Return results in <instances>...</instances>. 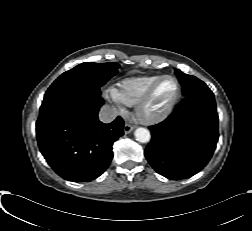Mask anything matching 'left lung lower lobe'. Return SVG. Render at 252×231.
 I'll return each mask as SVG.
<instances>
[{
  "label": "left lung lower lobe",
  "mask_w": 252,
  "mask_h": 231,
  "mask_svg": "<svg viewBox=\"0 0 252 231\" xmlns=\"http://www.w3.org/2000/svg\"><path fill=\"white\" fill-rule=\"evenodd\" d=\"M152 139L144 154L160 175L185 179L211 159L219 137L212 92L185 96L163 122L149 127Z\"/></svg>",
  "instance_id": "obj_1"
}]
</instances>
